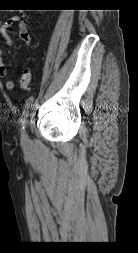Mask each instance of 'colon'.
Here are the masks:
<instances>
[{
    "instance_id": "5ec220e1",
    "label": "colon",
    "mask_w": 138,
    "mask_h": 253,
    "mask_svg": "<svg viewBox=\"0 0 138 253\" xmlns=\"http://www.w3.org/2000/svg\"><path fill=\"white\" fill-rule=\"evenodd\" d=\"M32 83H33L32 71L30 68H26L24 69L19 81L20 90L29 91L32 87Z\"/></svg>"
}]
</instances>
